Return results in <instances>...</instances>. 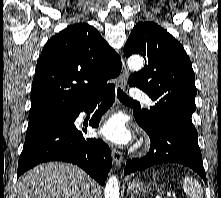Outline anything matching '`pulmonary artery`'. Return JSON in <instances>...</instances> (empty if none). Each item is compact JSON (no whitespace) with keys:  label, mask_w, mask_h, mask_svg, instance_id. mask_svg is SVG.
<instances>
[{"label":"pulmonary artery","mask_w":221,"mask_h":198,"mask_svg":"<svg viewBox=\"0 0 221 198\" xmlns=\"http://www.w3.org/2000/svg\"><path fill=\"white\" fill-rule=\"evenodd\" d=\"M131 97L136 100L144 101L148 105H153V101L150 99V97L139 89H133L131 91Z\"/></svg>","instance_id":"1"}]
</instances>
